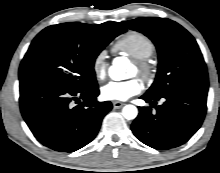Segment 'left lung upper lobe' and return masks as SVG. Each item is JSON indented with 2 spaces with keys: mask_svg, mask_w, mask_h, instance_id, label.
Masks as SVG:
<instances>
[{
  "mask_svg": "<svg viewBox=\"0 0 220 173\" xmlns=\"http://www.w3.org/2000/svg\"><path fill=\"white\" fill-rule=\"evenodd\" d=\"M122 24L145 34L158 51L156 79L145 93L162 97L177 91L208 92V75L201 51L193 36L166 18L141 17Z\"/></svg>",
  "mask_w": 220,
  "mask_h": 173,
  "instance_id": "1",
  "label": "left lung upper lobe"
}]
</instances>
